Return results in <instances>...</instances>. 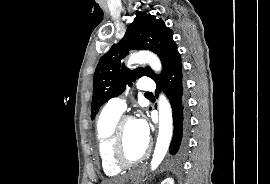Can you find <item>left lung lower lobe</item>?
I'll return each mask as SVG.
<instances>
[{
  "instance_id": "obj_1",
  "label": "left lung lower lobe",
  "mask_w": 270,
  "mask_h": 184,
  "mask_svg": "<svg viewBox=\"0 0 270 184\" xmlns=\"http://www.w3.org/2000/svg\"><path fill=\"white\" fill-rule=\"evenodd\" d=\"M157 91L163 89L170 101L173 111V137L170 154L179 161L185 154L188 144L190 121L187 99L184 91L181 56L177 52L171 59L164 73L156 81Z\"/></svg>"
}]
</instances>
